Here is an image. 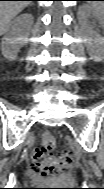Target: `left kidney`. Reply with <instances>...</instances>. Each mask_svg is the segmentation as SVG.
<instances>
[{
	"mask_svg": "<svg viewBox=\"0 0 104 189\" xmlns=\"http://www.w3.org/2000/svg\"><path fill=\"white\" fill-rule=\"evenodd\" d=\"M90 16L102 22L104 20L103 8L96 9L89 5L82 6L80 10V21L82 25H85L86 18ZM99 43L101 44V48L90 52L91 59L94 61H101L103 59L102 40H99Z\"/></svg>",
	"mask_w": 104,
	"mask_h": 189,
	"instance_id": "1",
	"label": "left kidney"
}]
</instances>
